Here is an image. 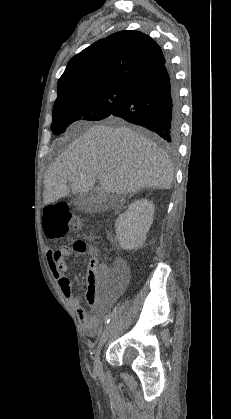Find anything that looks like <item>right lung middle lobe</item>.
<instances>
[{
	"label": "right lung middle lobe",
	"instance_id": "right-lung-middle-lobe-1",
	"mask_svg": "<svg viewBox=\"0 0 231 419\" xmlns=\"http://www.w3.org/2000/svg\"><path fill=\"white\" fill-rule=\"evenodd\" d=\"M130 88L104 87L84 90L54 103L51 130L59 135L77 120L104 119L125 100Z\"/></svg>",
	"mask_w": 231,
	"mask_h": 419
}]
</instances>
